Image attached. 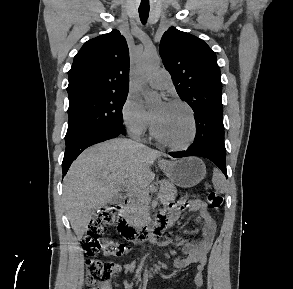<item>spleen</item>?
<instances>
[{"instance_id": "1", "label": "spleen", "mask_w": 293, "mask_h": 289, "mask_svg": "<svg viewBox=\"0 0 293 289\" xmlns=\"http://www.w3.org/2000/svg\"><path fill=\"white\" fill-rule=\"evenodd\" d=\"M212 183L218 192L224 193L226 191V181L223 174L218 169L213 170Z\"/></svg>"}]
</instances>
